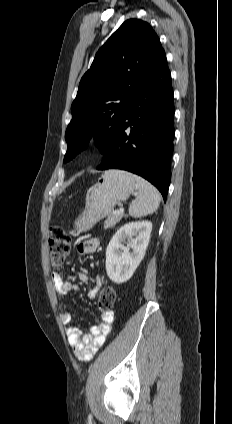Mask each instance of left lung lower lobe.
I'll return each instance as SVG.
<instances>
[{
    "instance_id": "1",
    "label": "left lung lower lobe",
    "mask_w": 232,
    "mask_h": 424,
    "mask_svg": "<svg viewBox=\"0 0 232 424\" xmlns=\"http://www.w3.org/2000/svg\"><path fill=\"white\" fill-rule=\"evenodd\" d=\"M173 139V89L165 57L133 96L97 169L138 174L156 186L166 201Z\"/></svg>"
}]
</instances>
